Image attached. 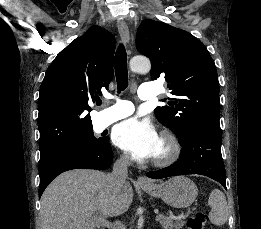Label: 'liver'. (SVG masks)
I'll use <instances>...</instances> for the list:
<instances>
[{
	"instance_id": "1",
	"label": "liver",
	"mask_w": 261,
	"mask_h": 229,
	"mask_svg": "<svg viewBox=\"0 0 261 229\" xmlns=\"http://www.w3.org/2000/svg\"><path fill=\"white\" fill-rule=\"evenodd\" d=\"M133 199L130 183L114 193L106 173L74 169L56 177L40 199L41 229H95L99 219L128 211Z\"/></svg>"
}]
</instances>
